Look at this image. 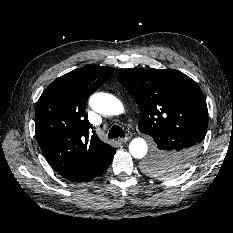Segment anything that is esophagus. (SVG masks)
<instances>
[{
    "mask_svg": "<svg viewBox=\"0 0 233 233\" xmlns=\"http://www.w3.org/2000/svg\"><path fill=\"white\" fill-rule=\"evenodd\" d=\"M131 138H132V134L131 133H127L124 138H119L118 141L120 143H125V142H128Z\"/></svg>",
    "mask_w": 233,
    "mask_h": 233,
    "instance_id": "obj_1",
    "label": "esophagus"
}]
</instances>
